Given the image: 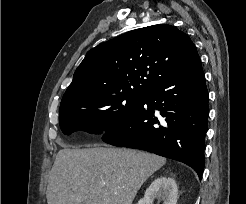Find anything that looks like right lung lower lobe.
Masks as SVG:
<instances>
[{
    "instance_id": "98d812e1",
    "label": "right lung lower lobe",
    "mask_w": 246,
    "mask_h": 204,
    "mask_svg": "<svg viewBox=\"0 0 246 204\" xmlns=\"http://www.w3.org/2000/svg\"><path fill=\"white\" fill-rule=\"evenodd\" d=\"M208 115V91L198 59L143 92L128 119L102 140L183 162L201 179Z\"/></svg>"
}]
</instances>
